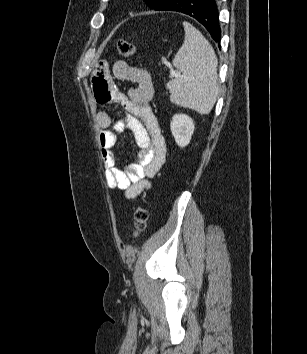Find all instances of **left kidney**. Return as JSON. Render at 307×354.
<instances>
[{
  "instance_id": "left-kidney-1",
  "label": "left kidney",
  "mask_w": 307,
  "mask_h": 354,
  "mask_svg": "<svg viewBox=\"0 0 307 354\" xmlns=\"http://www.w3.org/2000/svg\"><path fill=\"white\" fill-rule=\"evenodd\" d=\"M194 128L192 118L182 113L175 114L170 123L172 135L180 147H185L190 143Z\"/></svg>"
}]
</instances>
